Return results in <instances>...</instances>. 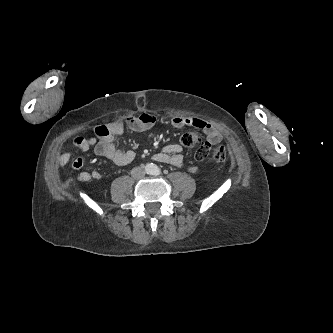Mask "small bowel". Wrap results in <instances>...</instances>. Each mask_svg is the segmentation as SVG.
I'll use <instances>...</instances> for the list:
<instances>
[{
	"label": "small bowel",
	"mask_w": 333,
	"mask_h": 333,
	"mask_svg": "<svg viewBox=\"0 0 333 333\" xmlns=\"http://www.w3.org/2000/svg\"><path fill=\"white\" fill-rule=\"evenodd\" d=\"M155 123V116L148 113H143L139 116H130L123 121H114L107 125L109 134L106 136L95 137H76L73 141V147L80 151H88L93 148L96 155L105 157L113 161L115 164L124 166L132 162L135 154L132 150L119 149L115 144V137L120 135L123 130L128 127L133 130L144 131L150 129ZM175 128H197L202 130L207 140L211 144H217L222 139L221 131L213 124L192 117L176 116L171 121ZM182 147L179 144H169L163 148V151L154 155V159L158 162L169 163L175 166H183L184 158L182 155ZM71 159L69 152H63L59 156V164L65 165ZM85 163L84 158H76L72 162V168L80 169ZM191 172H196V167H190ZM101 175L97 171L91 173L83 172L79 175V181L87 182L90 180H98Z\"/></svg>",
	"instance_id": "small-bowel-1"
}]
</instances>
